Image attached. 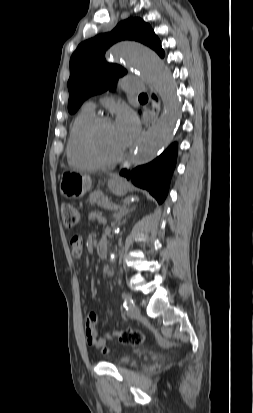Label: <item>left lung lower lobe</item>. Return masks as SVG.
<instances>
[{"label":"left lung lower lobe","instance_id":"0a47b994","mask_svg":"<svg viewBox=\"0 0 253 413\" xmlns=\"http://www.w3.org/2000/svg\"><path fill=\"white\" fill-rule=\"evenodd\" d=\"M177 144L173 143L159 157L149 164L139 166L121 175L126 176L136 186L147 189L159 203L166 198L170 179L176 164Z\"/></svg>","mask_w":253,"mask_h":413}]
</instances>
